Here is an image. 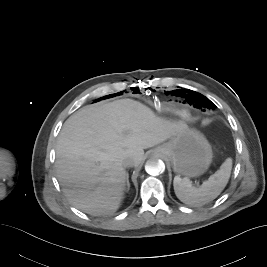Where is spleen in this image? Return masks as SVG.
<instances>
[{
  "mask_svg": "<svg viewBox=\"0 0 267 267\" xmlns=\"http://www.w3.org/2000/svg\"><path fill=\"white\" fill-rule=\"evenodd\" d=\"M232 169V159L227 158L208 180L196 188L192 186L188 178L175 176L173 181L174 191L177 198L189 205L201 206L214 200L227 185Z\"/></svg>",
  "mask_w": 267,
  "mask_h": 267,
  "instance_id": "3e777b00",
  "label": "spleen"
}]
</instances>
